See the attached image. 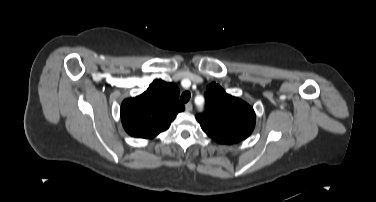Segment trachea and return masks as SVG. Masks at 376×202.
<instances>
[{
  "label": "trachea",
  "instance_id": "3493384b",
  "mask_svg": "<svg viewBox=\"0 0 376 202\" xmlns=\"http://www.w3.org/2000/svg\"><path fill=\"white\" fill-rule=\"evenodd\" d=\"M190 97H191L190 92L185 91V92L182 93L180 100H181V102L186 103V102L189 101Z\"/></svg>",
  "mask_w": 376,
  "mask_h": 202
}]
</instances>
